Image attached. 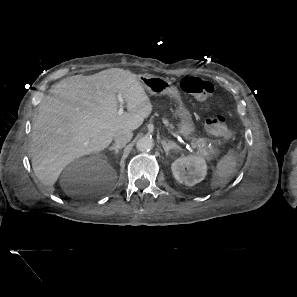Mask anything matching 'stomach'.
I'll return each mask as SVG.
<instances>
[{
	"label": "stomach",
	"instance_id": "0dacf381",
	"mask_svg": "<svg viewBox=\"0 0 297 297\" xmlns=\"http://www.w3.org/2000/svg\"><path fill=\"white\" fill-rule=\"evenodd\" d=\"M139 80L151 95L168 94L178 100L180 98L177 88L166 78L144 74ZM175 116L180 120L178 124L179 133L186 139L192 138L195 133V125L189 109L180 102L175 111Z\"/></svg>",
	"mask_w": 297,
	"mask_h": 297
}]
</instances>
